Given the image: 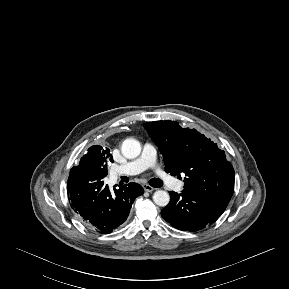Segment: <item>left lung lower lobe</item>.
Here are the masks:
<instances>
[{
	"label": "left lung lower lobe",
	"mask_w": 289,
	"mask_h": 289,
	"mask_svg": "<svg viewBox=\"0 0 289 289\" xmlns=\"http://www.w3.org/2000/svg\"><path fill=\"white\" fill-rule=\"evenodd\" d=\"M170 202L161 215L173 227L183 231H198L215 222L225 211L224 206L194 191L170 192Z\"/></svg>",
	"instance_id": "obj_1"
}]
</instances>
